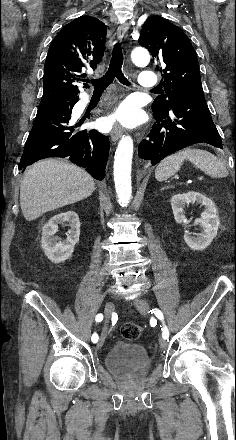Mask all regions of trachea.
<instances>
[{"instance_id": "obj_1", "label": "trachea", "mask_w": 236, "mask_h": 440, "mask_svg": "<svg viewBox=\"0 0 236 440\" xmlns=\"http://www.w3.org/2000/svg\"><path fill=\"white\" fill-rule=\"evenodd\" d=\"M123 65V53L121 43L117 42L114 45L112 51V57L110 60L109 68L105 75L99 79L88 80L94 86V91H104L115 78L119 80L120 83L125 85H130V82L126 79L122 72Z\"/></svg>"}]
</instances>
